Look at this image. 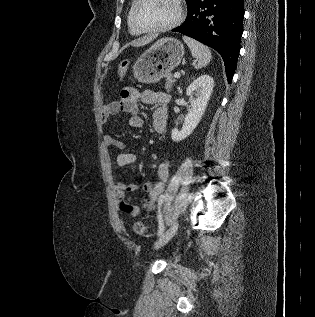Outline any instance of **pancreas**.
<instances>
[{"mask_svg": "<svg viewBox=\"0 0 315 317\" xmlns=\"http://www.w3.org/2000/svg\"><path fill=\"white\" fill-rule=\"evenodd\" d=\"M175 83L174 78L171 75H167L166 76V83H165V89L167 91H171L173 85Z\"/></svg>", "mask_w": 315, "mask_h": 317, "instance_id": "cf45deb5", "label": "pancreas"}]
</instances>
